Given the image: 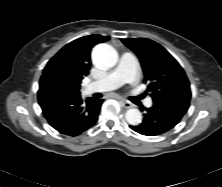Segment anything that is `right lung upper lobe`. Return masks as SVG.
<instances>
[{
  "label": "right lung upper lobe",
  "mask_w": 222,
  "mask_h": 187,
  "mask_svg": "<svg viewBox=\"0 0 222 187\" xmlns=\"http://www.w3.org/2000/svg\"><path fill=\"white\" fill-rule=\"evenodd\" d=\"M108 39L106 36L89 35L70 42L47 63L41 79L46 76L59 77L79 92L81 80L89 74L91 67V49Z\"/></svg>",
  "instance_id": "obj_1"
}]
</instances>
